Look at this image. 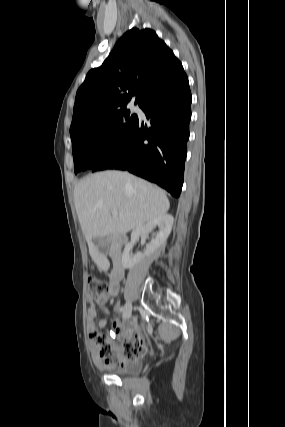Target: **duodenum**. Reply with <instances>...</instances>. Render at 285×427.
<instances>
[{
    "label": "duodenum",
    "instance_id": "obj_1",
    "mask_svg": "<svg viewBox=\"0 0 285 427\" xmlns=\"http://www.w3.org/2000/svg\"><path fill=\"white\" fill-rule=\"evenodd\" d=\"M119 242L121 240H118ZM114 268L111 272V278L113 279H121L123 277V268L120 264V252L116 251L113 255Z\"/></svg>",
    "mask_w": 285,
    "mask_h": 427
}]
</instances>
